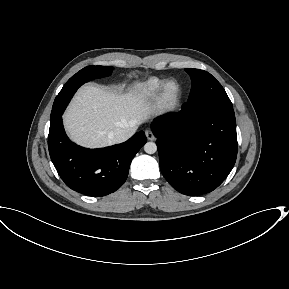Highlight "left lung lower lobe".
<instances>
[{
	"mask_svg": "<svg viewBox=\"0 0 289 289\" xmlns=\"http://www.w3.org/2000/svg\"><path fill=\"white\" fill-rule=\"evenodd\" d=\"M152 130L158 138L161 172L182 194L213 191L235 164L237 134L232 105L187 102L179 112L157 117Z\"/></svg>",
	"mask_w": 289,
	"mask_h": 289,
	"instance_id": "left-lung-lower-lobe-1",
	"label": "left lung lower lobe"
}]
</instances>
